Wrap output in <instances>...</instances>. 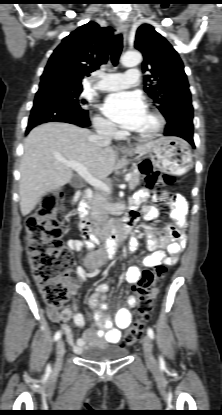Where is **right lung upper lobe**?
Here are the masks:
<instances>
[{"instance_id": "cb5924a9", "label": "right lung upper lobe", "mask_w": 222, "mask_h": 415, "mask_svg": "<svg viewBox=\"0 0 222 415\" xmlns=\"http://www.w3.org/2000/svg\"><path fill=\"white\" fill-rule=\"evenodd\" d=\"M113 30L96 22L80 26L65 37L49 58L41 82L56 80L82 87V79L107 62Z\"/></svg>"}]
</instances>
